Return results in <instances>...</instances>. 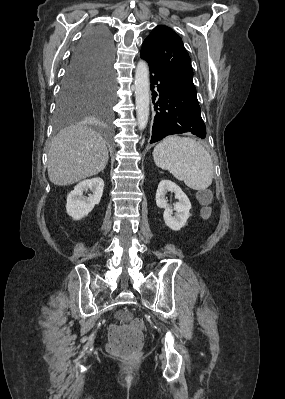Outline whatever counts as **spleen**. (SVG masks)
<instances>
[{"instance_id": "obj_1", "label": "spleen", "mask_w": 285, "mask_h": 399, "mask_svg": "<svg viewBox=\"0 0 285 399\" xmlns=\"http://www.w3.org/2000/svg\"><path fill=\"white\" fill-rule=\"evenodd\" d=\"M155 164L168 170L191 189L202 191L213 179L214 168L209 152L195 139L171 135L153 151Z\"/></svg>"}]
</instances>
